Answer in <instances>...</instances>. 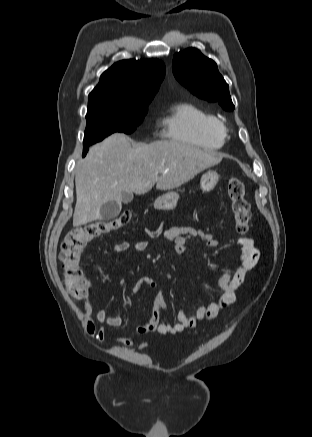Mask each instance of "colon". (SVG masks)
<instances>
[{
    "label": "colon",
    "instance_id": "5ec220e1",
    "mask_svg": "<svg viewBox=\"0 0 312 437\" xmlns=\"http://www.w3.org/2000/svg\"><path fill=\"white\" fill-rule=\"evenodd\" d=\"M227 195L238 235L248 232L251 222L250 205L245 197V185L240 177H231L227 183ZM132 218V212L123 211L110 220H99L83 228L71 231L61 244L59 260L62 264L64 288L73 300L82 301L88 297V282L80 266L84 248L96 238L124 227Z\"/></svg>",
    "mask_w": 312,
    "mask_h": 437
}]
</instances>
